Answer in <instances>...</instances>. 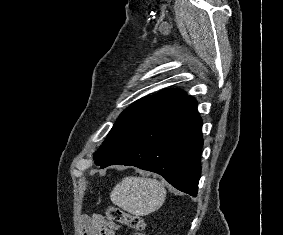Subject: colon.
I'll use <instances>...</instances> for the list:
<instances>
[{
  "mask_svg": "<svg viewBox=\"0 0 283 235\" xmlns=\"http://www.w3.org/2000/svg\"><path fill=\"white\" fill-rule=\"evenodd\" d=\"M106 215L109 220L133 229L134 235H146L147 221L143 217L133 215L116 206H109Z\"/></svg>",
  "mask_w": 283,
  "mask_h": 235,
  "instance_id": "obj_1",
  "label": "colon"
}]
</instances>
